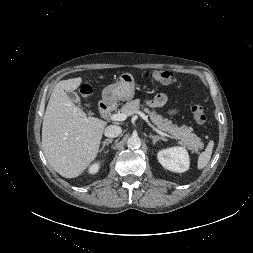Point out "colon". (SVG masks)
<instances>
[{
    "label": "colon",
    "instance_id": "colon-1",
    "mask_svg": "<svg viewBox=\"0 0 253 253\" xmlns=\"http://www.w3.org/2000/svg\"><path fill=\"white\" fill-rule=\"evenodd\" d=\"M145 75L147 78L153 81L162 83V84H169L176 80L175 75L171 71H168V70H153V71L147 72ZM79 93L83 97H88L91 93V87L88 84H83L79 88ZM191 112L197 124L199 125L205 124L207 117H206L203 106L199 102H195L192 105Z\"/></svg>",
    "mask_w": 253,
    "mask_h": 253
}]
</instances>
